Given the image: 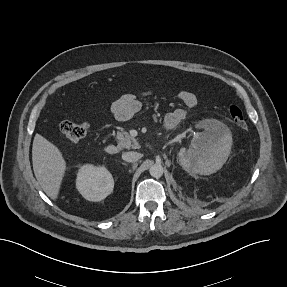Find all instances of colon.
Here are the masks:
<instances>
[{
  "instance_id": "5ec220e1",
  "label": "colon",
  "mask_w": 287,
  "mask_h": 287,
  "mask_svg": "<svg viewBox=\"0 0 287 287\" xmlns=\"http://www.w3.org/2000/svg\"><path fill=\"white\" fill-rule=\"evenodd\" d=\"M228 114L231 121L241 128L246 127V120L242 109L235 104L228 108ZM88 124L86 122H77L66 120L59 126L60 135L69 143L76 144L81 141L87 134Z\"/></svg>"
}]
</instances>
